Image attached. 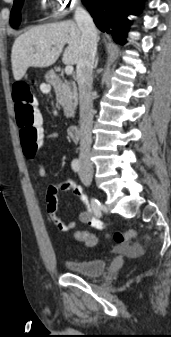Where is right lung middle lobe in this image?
I'll use <instances>...</instances> for the list:
<instances>
[{
    "instance_id": "1",
    "label": "right lung middle lobe",
    "mask_w": 171,
    "mask_h": 337,
    "mask_svg": "<svg viewBox=\"0 0 171 337\" xmlns=\"http://www.w3.org/2000/svg\"><path fill=\"white\" fill-rule=\"evenodd\" d=\"M23 5V0H14V5L11 10V15H10V24L13 28H16L20 24V15L19 11Z\"/></svg>"
}]
</instances>
